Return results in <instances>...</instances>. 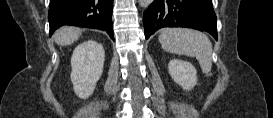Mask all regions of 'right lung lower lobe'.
<instances>
[{"label":"right lung lower lobe","mask_w":273,"mask_h":118,"mask_svg":"<svg viewBox=\"0 0 273 118\" xmlns=\"http://www.w3.org/2000/svg\"><path fill=\"white\" fill-rule=\"evenodd\" d=\"M112 10L113 0H50V36L63 25H74L104 30L114 40Z\"/></svg>","instance_id":"1"}]
</instances>
